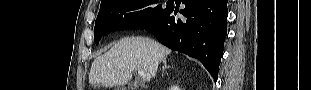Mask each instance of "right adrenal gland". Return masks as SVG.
<instances>
[{
    "label": "right adrenal gland",
    "instance_id": "1",
    "mask_svg": "<svg viewBox=\"0 0 311 90\" xmlns=\"http://www.w3.org/2000/svg\"><path fill=\"white\" fill-rule=\"evenodd\" d=\"M167 68H170V66L167 65V61L166 60H163V71H162V75L164 74L165 70Z\"/></svg>",
    "mask_w": 311,
    "mask_h": 90
}]
</instances>
